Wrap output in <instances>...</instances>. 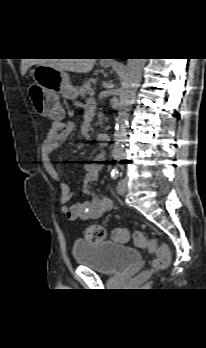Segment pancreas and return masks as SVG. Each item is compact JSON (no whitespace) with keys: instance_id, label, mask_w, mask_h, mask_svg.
<instances>
[{"instance_id":"1","label":"pancreas","mask_w":206,"mask_h":348,"mask_svg":"<svg viewBox=\"0 0 206 348\" xmlns=\"http://www.w3.org/2000/svg\"><path fill=\"white\" fill-rule=\"evenodd\" d=\"M91 90H92V89H91V79H89V80H86V81L83 83V85L80 87L79 93H80V95L82 96V98H86V96H87L88 94H90ZM90 100H92V98H91ZM103 118H104V115H103L102 112H100V113L98 114V120H99V122L97 123V125H98V124H99V125H102Z\"/></svg>"}]
</instances>
